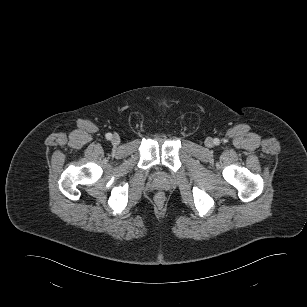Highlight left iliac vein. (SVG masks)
I'll list each match as a JSON object with an SVG mask.
<instances>
[{"mask_svg":"<svg viewBox=\"0 0 307 307\" xmlns=\"http://www.w3.org/2000/svg\"><path fill=\"white\" fill-rule=\"evenodd\" d=\"M207 145H211V140H208V141H207Z\"/></svg>","mask_w":307,"mask_h":307,"instance_id":"1","label":"left iliac vein"}]
</instances>
